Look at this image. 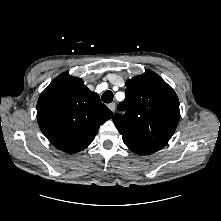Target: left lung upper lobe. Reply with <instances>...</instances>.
I'll return each mask as SVG.
<instances>
[{
    "instance_id": "obj_1",
    "label": "left lung upper lobe",
    "mask_w": 221,
    "mask_h": 221,
    "mask_svg": "<svg viewBox=\"0 0 221 221\" xmlns=\"http://www.w3.org/2000/svg\"><path fill=\"white\" fill-rule=\"evenodd\" d=\"M125 101L118 106L126 113L113 116L125 145L140 155L162 149L179 121V101L174 90L156 73L146 70L126 82Z\"/></svg>"
}]
</instances>
